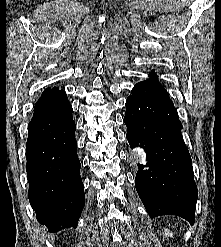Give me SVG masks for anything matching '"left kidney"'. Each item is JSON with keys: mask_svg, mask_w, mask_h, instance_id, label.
<instances>
[{"mask_svg": "<svg viewBox=\"0 0 221 247\" xmlns=\"http://www.w3.org/2000/svg\"><path fill=\"white\" fill-rule=\"evenodd\" d=\"M172 235L173 234L169 230H167V229L164 230V236L165 237H172Z\"/></svg>", "mask_w": 221, "mask_h": 247, "instance_id": "obj_1", "label": "left kidney"}]
</instances>
